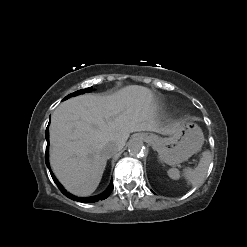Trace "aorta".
Listing matches in <instances>:
<instances>
[{
	"mask_svg": "<svg viewBox=\"0 0 247 247\" xmlns=\"http://www.w3.org/2000/svg\"><path fill=\"white\" fill-rule=\"evenodd\" d=\"M129 154L133 157L141 156L144 152L143 142L139 139H133L128 145Z\"/></svg>",
	"mask_w": 247,
	"mask_h": 247,
	"instance_id": "762f6f07",
	"label": "aorta"
}]
</instances>
